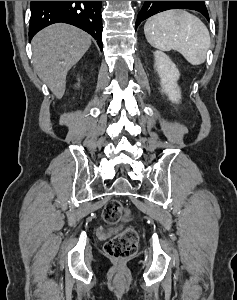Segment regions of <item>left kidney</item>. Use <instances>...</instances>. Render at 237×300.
I'll use <instances>...</instances> for the list:
<instances>
[{"instance_id": "1", "label": "left kidney", "mask_w": 237, "mask_h": 300, "mask_svg": "<svg viewBox=\"0 0 237 300\" xmlns=\"http://www.w3.org/2000/svg\"><path fill=\"white\" fill-rule=\"evenodd\" d=\"M155 69L160 77V85L162 93L167 95L171 103H179L181 99V91L177 85L180 73L173 61L162 53L155 51Z\"/></svg>"}]
</instances>
